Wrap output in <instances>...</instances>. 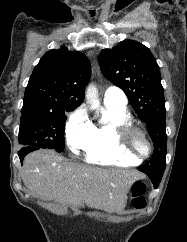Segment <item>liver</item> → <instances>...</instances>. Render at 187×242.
I'll return each instance as SVG.
<instances>
[{"label":"liver","mask_w":187,"mask_h":242,"mask_svg":"<svg viewBox=\"0 0 187 242\" xmlns=\"http://www.w3.org/2000/svg\"><path fill=\"white\" fill-rule=\"evenodd\" d=\"M139 176L132 170L71 162L52 150L27 155L21 170L22 181L34 196L110 213L125 208L127 194Z\"/></svg>","instance_id":"6515ba94"}]
</instances>
